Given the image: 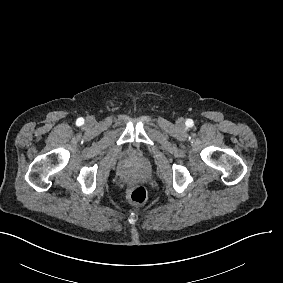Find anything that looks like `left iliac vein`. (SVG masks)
I'll return each mask as SVG.
<instances>
[{
	"mask_svg": "<svg viewBox=\"0 0 283 283\" xmlns=\"http://www.w3.org/2000/svg\"><path fill=\"white\" fill-rule=\"evenodd\" d=\"M183 124H184L183 119H179V120H178V125H179V126H182Z\"/></svg>",
	"mask_w": 283,
	"mask_h": 283,
	"instance_id": "left-iliac-vein-1",
	"label": "left iliac vein"
}]
</instances>
